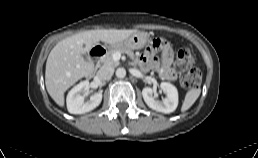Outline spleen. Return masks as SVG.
Wrapping results in <instances>:
<instances>
[{"mask_svg":"<svg viewBox=\"0 0 258 158\" xmlns=\"http://www.w3.org/2000/svg\"><path fill=\"white\" fill-rule=\"evenodd\" d=\"M200 93H201L200 88H193L189 90L185 95V98L181 107V111L184 112L188 110L198 99V97L200 96Z\"/></svg>","mask_w":258,"mask_h":158,"instance_id":"3e777b00","label":"spleen"}]
</instances>
